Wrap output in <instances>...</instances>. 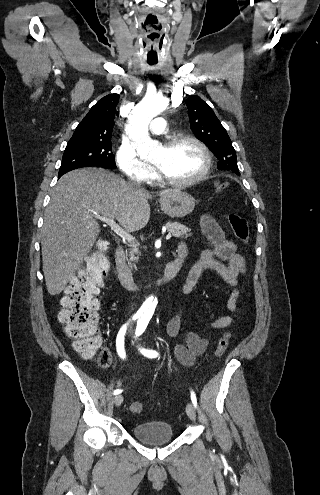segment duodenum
<instances>
[{
  "label": "duodenum",
  "mask_w": 320,
  "mask_h": 495,
  "mask_svg": "<svg viewBox=\"0 0 320 495\" xmlns=\"http://www.w3.org/2000/svg\"><path fill=\"white\" fill-rule=\"evenodd\" d=\"M186 255H187L186 248L184 247L178 248L176 258L170 261L169 263H167L163 274L159 278H157L153 283L140 285L132 277L126 262L125 251L121 246H119L115 252V262H116V269L119 280L123 286L130 289L150 288L152 286L164 285L176 277Z\"/></svg>",
  "instance_id": "1"
}]
</instances>
